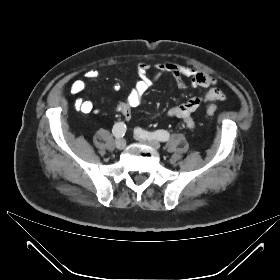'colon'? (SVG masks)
Here are the masks:
<instances>
[{
  "label": "colon",
  "instance_id": "colon-1",
  "mask_svg": "<svg viewBox=\"0 0 280 280\" xmlns=\"http://www.w3.org/2000/svg\"><path fill=\"white\" fill-rule=\"evenodd\" d=\"M216 108L215 107H208L206 112L208 115H214L216 113Z\"/></svg>",
  "mask_w": 280,
  "mask_h": 280
}]
</instances>
